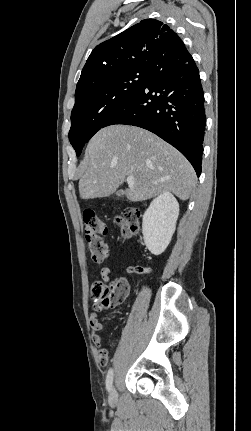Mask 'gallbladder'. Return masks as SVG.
Listing matches in <instances>:
<instances>
[{
  "label": "gallbladder",
  "instance_id": "1",
  "mask_svg": "<svg viewBox=\"0 0 251 431\" xmlns=\"http://www.w3.org/2000/svg\"><path fill=\"white\" fill-rule=\"evenodd\" d=\"M116 195H117V196H122V195H124V191H123V190H118V191L116 192Z\"/></svg>",
  "mask_w": 251,
  "mask_h": 431
}]
</instances>
